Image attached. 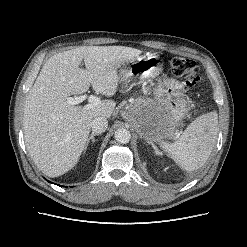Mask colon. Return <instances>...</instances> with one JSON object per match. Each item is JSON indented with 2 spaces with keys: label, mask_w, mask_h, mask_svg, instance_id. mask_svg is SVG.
Segmentation results:
<instances>
[{
  "label": "colon",
  "mask_w": 247,
  "mask_h": 247,
  "mask_svg": "<svg viewBox=\"0 0 247 247\" xmlns=\"http://www.w3.org/2000/svg\"><path fill=\"white\" fill-rule=\"evenodd\" d=\"M173 73L182 77L187 86H194L200 81L199 69L195 61L184 58L174 57L170 61Z\"/></svg>",
  "instance_id": "colon-1"
}]
</instances>
